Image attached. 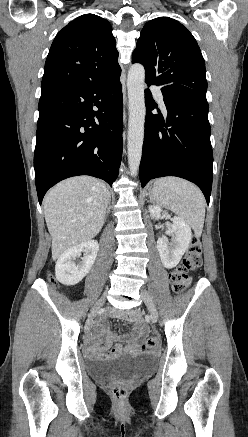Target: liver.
Returning <instances> with one entry per match:
<instances>
[{
  "label": "liver",
  "instance_id": "1",
  "mask_svg": "<svg viewBox=\"0 0 248 437\" xmlns=\"http://www.w3.org/2000/svg\"><path fill=\"white\" fill-rule=\"evenodd\" d=\"M109 202L106 184L91 176L66 179L46 194L44 215L53 260L101 231Z\"/></svg>",
  "mask_w": 248,
  "mask_h": 437
}]
</instances>
